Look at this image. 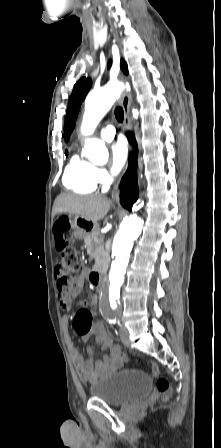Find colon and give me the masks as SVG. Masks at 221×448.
Masks as SVG:
<instances>
[{
    "instance_id": "1",
    "label": "colon",
    "mask_w": 221,
    "mask_h": 448,
    "mask_svg": "<svg viewBox=\"0 0 221 448\" xmlns=\"http://www.w3.org/2000/svg\"><path fill=\"white\" fill-rule=\"evenodd\" d=\"M54 232L58 240L61 241L64 249L62 256L57 264L56 280L60 291L66 290L71 285V273L79 268L77 254L72 246L73 237L71 225L68 219L61 217L54 225ZM90 322H88L87 328ZM124 361H131L129 356H124ZM150 373L153 377H158L159 368L154 362L151 363ZM156 389L164 401L171 398V386L166 377H158L156 380Z\"/></svg>"
}]
</instances>
